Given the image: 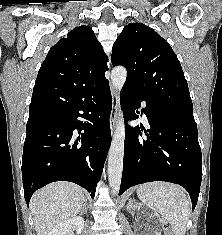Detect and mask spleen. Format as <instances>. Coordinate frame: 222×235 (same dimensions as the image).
<instances>
[{"label": "spleen", "mask_w": 222, "mask_h": 235, "mask_svg": "<svg viewBox=\"0 0 222 235\" xmlns=\"http://www.w3.org/2000/svg\"><path fill=\"white\" fill-rule=\"evenodd\" d=\"M137 195L170 223L175 235H185L191 206L181 187L167 182H150L139 186Z\"/></svg>", "instance_id": "spleen-1"}]
</instances>
